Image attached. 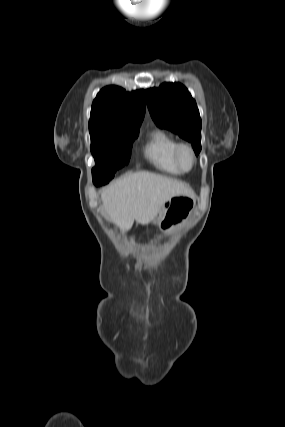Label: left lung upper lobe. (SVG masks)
I'll list each match as a JSON object with an SVG mask.
<instances>
[{
	"instance_id": "left-lung-upper-lobe-1",
	"label": "left lung upper lobe",
	"mask_w": 285,
	"mask_h": 427,
	"mask_svg": "<svg viewBox=\"0 0 285 427\" xmlns=\"http://www.w3.org/2000/svg\"><path fill=\"white\" fill-rule=\"evenodd\" d=\"M150 114L161 128H166L191 142L196 155L201 150V118L195 100L180 83H163L146 90Z\"/></svg>"
}]
</instances>
